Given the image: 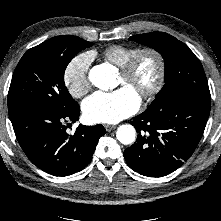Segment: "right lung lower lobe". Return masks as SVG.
<instances>
[{
	"instance_id": "98d812e1",
	"label": "right lung lower lobe",
	"mask_w": 221,
	"mask_h": 221,
	"mask_svg": "<svg viewBox=\"0 0 221 221\" xmlns=\"http://www.w3.org/2000/svg\"><path fill=\"white\" fill-rule=\"evenodd\" d=\"M79 105L65 112L29 108L10 116L17 140L26 156L41 170L67 176L83 170L91 161L104 127L79 125L68 135L65 122L78 120Z\"/></svg>"
}]
</instances>
